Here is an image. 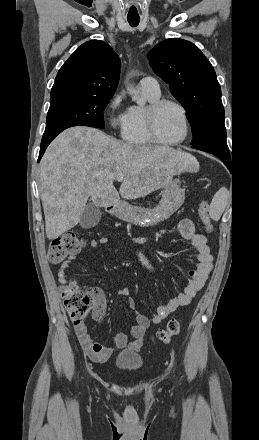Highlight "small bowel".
Here are the masks:
<instances>
[{
    "label": "small bowel",
    "mask_w": 259,
    "mask_h": 440,
    "mask_svg": "<svg viewBox=\"0 0 259 440\" xmlns=\"http://www.w3.org/2000/svg\"><path fill=\"white\" fill-rule=\"evenodd\" d=\"M177 229L182 238L190 244L195 252L196 267L188 272L189 281L176 296L170 299L167 303L157 306L155 313L152 316H147L136 310L135 301L130 296L129 289H120L118 294L127 297V304L134 312L136 325H134L128 333L120 332L115 334L113 340L116 347H129L133 350H139L142 347L143 338L148 328L152 324H158L161 322L177 308L188 305L205 284L208 275L213 268V256L210 247L207 244L206 237L196 232L194 223L190 219L181 220L177 225ZM121 240L139 243L143 239L135 236H123L121 237ZM108 241V237L103 236L97 239H92L90 245L91 247L96 248L102 244L108 243ZM136 257L138 262L148 273H155L156 269L154 265L142 252H138ZM75 259V256H71L60 265L58 278L61 283L66 282V272ZM91 291L95 298L93 318L96 321H102L106 313L104 295L102 291L97 288H93ZM75 333L83 350L93 361L104 362L112 355L113 349L94 341L84 323L75 326Z\"/></svg>",
    "instance_id": "1"
}]
</instances>
